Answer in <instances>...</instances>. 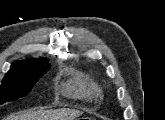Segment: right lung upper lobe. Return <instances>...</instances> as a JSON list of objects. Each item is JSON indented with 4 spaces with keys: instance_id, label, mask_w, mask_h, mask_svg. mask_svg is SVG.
<instances>
[{
    "instance_id": "right-lung-upper-lobe-1",
    "label": "right lung upper lobe",
    "mask_w": 165,
    "mask_h": 120,
    "mask_svg": "<svg viewBox=\"0 0 165 120\" xmlns=\"http://www.w3.org/2000/svg\"><path fill=\"white\" fill-rule=\"evenodd\" d=\"M24 64L50 65L49 63H47L46 59L40 58V59H26L22 61H15L12 63L11 67H16V66L24 65Z\"/></svg>"
}]
</instances>
